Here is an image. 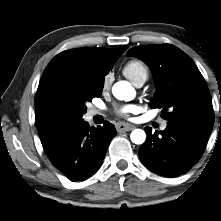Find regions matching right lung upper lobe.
Masks as SVG:
<instances>
[{
  "mask_svg": "<svg viewBox=\"0 0 221 221\" xmlns=\"http://www.w3.org/2000/svg\"><path fill=\"white\" fill-rule=\"evenodd\" d=\"M126 49L127 46L118 48H78L63 51L47 65L39 85L57 75L78 68H86L95 80H102ZM36 122L42 146L47 153L64 134H57L49 130L42 122L38 110H36Z\"/></svg>",
  "mask_w": 221,
  "mask_h": 221,
  "instance_id": "1",
  "label": "right lung upper lobe"
}]
</instances>
